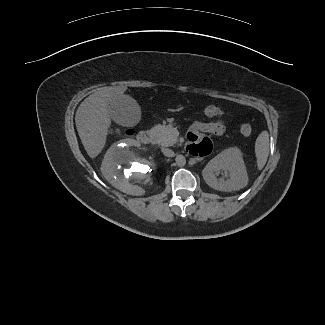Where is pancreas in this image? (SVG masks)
<instances>
[{
  "mask_svg": "<svg viewBox=\"0 0 325 325\" xmlns=\"http://www.w3.org/2000/svg\"><path fill=\"white\" fill-rule=\"evenodd\" d=\"M174 127L172 124L160 125L157 124L152 128V132L155 135V144L161 146H172L176 143L177 137L173 134Z\"/></svg>",
  "mask_w": 325,
  "mask_h": 325,
  "instance_id": "obj_1",
  "label": "pancreas"
}]
</instances>
